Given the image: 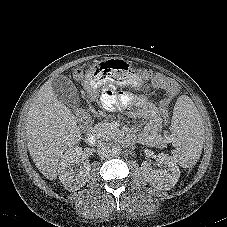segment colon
<instances>
[{
	"instance_id": "5ec220e1",
	"label": "colon",
	"mask_w": 227,
	"mask_h": 227,
	"mask_svg": "<svg viewBox=\"0 0 227 227\" xmlns=\"http://www.w3.org/2000/svg\"><path fill=\"white\" fill-rule=\"evenodd\" d=\"M74 75L77 79L81 80L84 78V70H76ZM145 76L151 78L156 85L164 87L170 93L164 94L160 103L162 123L164 126L169 127L173 123V112L171 110V105L173 102L172 95H175L178 92V84L173 79L165 77L160 73L147 71ZM76 115L81 123H87L89 120V115L84 109L77 110Z\"/></svg>"
}]
</instances>
